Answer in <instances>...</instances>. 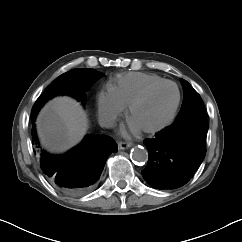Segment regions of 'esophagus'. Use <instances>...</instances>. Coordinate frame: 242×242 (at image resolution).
Instances as JSON below:
<instances>
[{
    "mask_svg": "<svg viewBox=\"0 0 242 242\" xmlns=\"http://www.w3.org/2000/svg\"><path fill=\"white\" fill-rule=\"evenodd\" d=\"M131 146H132V143H130V142L121 141V142L118 143V148L120 150L128 149Z\"/></svg>",
    "mask_w": 242,
    "mask_h": 242,
    "instance_id": "esophagus-1",
    "label": "esophagus"
}]
</instances>
